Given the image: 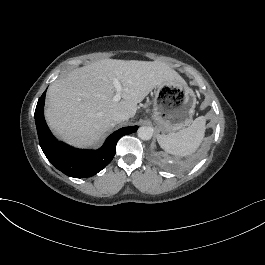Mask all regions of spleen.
<instances>
[{
    "label": "spleen",
    "mask_w": 265,
    "mask_h": 265,
    "mask_svg": "<svg viewBox=\"0 0 265 265\" xmlns=\"http://www.w3.org/2000/svg\"><path fill=\"white\" fill-rule=\"evenodd\" d=\"M204 132L205 119L198 117L190 126L176 133L157 135V141L167 153L184 157L193 154L198 149L203 140Z\"/></svg>",
    "instance_id": "obj_1"
}]
</instances>
